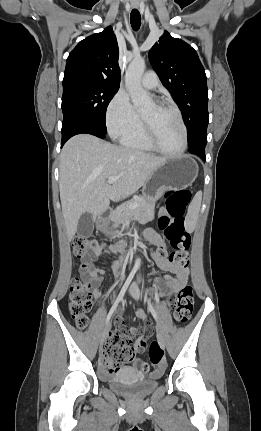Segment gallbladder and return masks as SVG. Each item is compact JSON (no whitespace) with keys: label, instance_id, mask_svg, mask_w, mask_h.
<instances>
[{"label":"gallbladder","instance_id":"1","mask_svg":"<svg viewBox=\"0 0 261 431\" xmlns=\"http://www.w3.org/2000/svg\"><path fill=\"white\" fill-rule=\"evenodd\" d=\"M94 230V219L90 213H85L81 216L78 222L77 234L80 237H89Z\"/></svg>","mask_w":261,"mask_h":431}]
</instances>
